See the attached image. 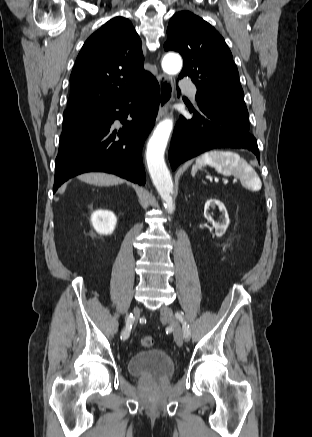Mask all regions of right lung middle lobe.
I'll return each mask as SVG.
<instances>
[{"instance_id": "obj_1", "label": "right lung middle lobe", "mask_w": 312, "mask_h": 437, "mask_svg": "<svg viewBox=\"0 0 312 437\" xmlns=\"http://www.w3.org/2000/svg\"><path fill=\"white\" fill-rule=\"evenodd\" d=\"M99 110H78V111H68L64 112V121L62 125V130L72 128L87 119L96 116Z\"/></svg>"}]
</instances>
